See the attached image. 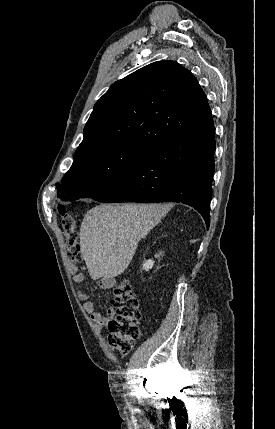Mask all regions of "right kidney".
Instances as JSON below:
<instances>
[{
    "label": "right kidney",
    "instance_id": "obj_1",
    "mask_svg": "<svg viewBox=\"0 0 275 429\" xmlns=\"http://www.w3.org/2000/svg\"><path fill=\"white\" fill-rule=\"evenodd\" d=\"M155 257H159L158 255H156ZM154 265V261L153 260H147L143 263V269L145 271H149Z\"/></svg>",
    "mask_w": 275,
    "mask_h": 429
}]
</instances>
